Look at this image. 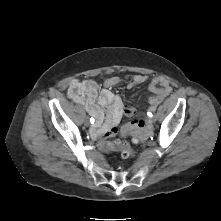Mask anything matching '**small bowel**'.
I'll return each mask as SVG.
<instances>
[{"mask_svg":"<svg viewBox=\"0 0 221 221\" xmlns=\"http://www.w3.org/2000/svg\"><path fill=\"white\" fill-rule=\"evenodd\" d=\"M146 80L147 76L135 74L132 76L129 86L144 83ZM120 81L121 78L118 76L107 78L104 81V88L101 90H99L98 83L93 79L73 80L68 87V97L83 105L89 115L95 119L96 123L91 131L93 137H115L121 119L124 116L135 114L133 108L124 105L121 98L111 91V88L117 86ZM149 90L153 93V96L149 98V103L155 107L171 92L172 88L166 78L158 76L151 79ZM126 125H123L120 131Z\"/></svg>","mask_w":221,"mask_h":221,"instance_id":"1","label":"small bowel"}]
</instances>
